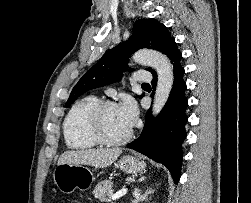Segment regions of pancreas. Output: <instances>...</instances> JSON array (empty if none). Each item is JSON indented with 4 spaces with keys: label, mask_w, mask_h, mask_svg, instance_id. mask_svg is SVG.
Here are the masks:
<instances>
[{
    "label": "pancreas",
    "mask_w": 251,
    "mask_h": 203,
    "mask_svg": "<svg viewBox=\"0 0 251 203\" xmlns=\"http://www.w3.org/2000/svg\"><path fill=\"white\" fill-rule=\"evenodd\" d=\"M93 194L101 202L107 201L113 195L112 181L104 180L99 182L94 188Z\"/></svg>",
    "instance_id": "pancreas-1"
}]
</instances>
